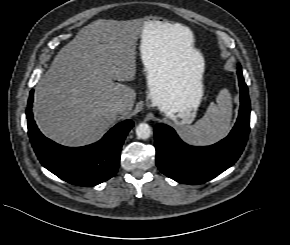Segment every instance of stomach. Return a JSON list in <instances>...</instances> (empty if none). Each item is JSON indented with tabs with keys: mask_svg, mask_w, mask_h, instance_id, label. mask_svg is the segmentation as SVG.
I'll return each instance as SVG.
<instances>
[{
	"mask_svg": "<svg viewBox=\"0 0 290 245\" xmlns=\"http://www.w3.org/2000/svg\"><path fill=\"white\" fill-rule=\"evenodd\" d=\"M159 22L146 23L141 36L140 57L147 81V107H158L177 127L191 124L204 94V61L195 54L196 69L185 70L165 43L159 44Z\"/></svg>",
	"mask_w": 290,
	"mask_h": 245,
	"instance_id": "stomach-1",
	"label": "stomach"
}]
</instances>
